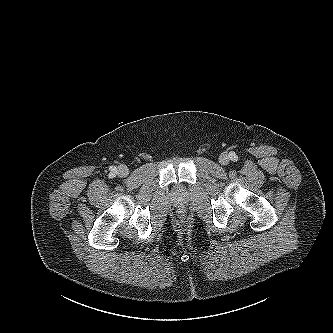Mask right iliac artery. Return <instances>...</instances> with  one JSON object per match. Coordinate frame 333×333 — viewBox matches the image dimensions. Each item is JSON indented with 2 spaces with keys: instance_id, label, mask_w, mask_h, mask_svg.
I'll return each instance as SVG.
<instances>
[{
  "instance_id": "obj_1",
  "label": "right iliac artery",
  "mask_w": 333,
  "mask_h": 333,
  "mask_svg": "<svg viewBox=\"0 0 333 333\" xmlns=\"http://www.w3.org/2000/svg\"><path fill=\"white\" fill-rule=\"evenodd\" d=\"M115 171H116V168L113 169V173H115Z\"/></svg>"
}]
</instances>
